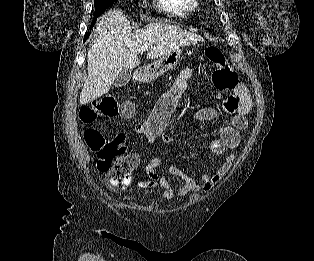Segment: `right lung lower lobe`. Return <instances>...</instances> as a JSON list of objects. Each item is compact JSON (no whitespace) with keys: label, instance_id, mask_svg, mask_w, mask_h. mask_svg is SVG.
Here are the masks:
<instances>
[{"label":"right lung lower lobe","instance_id":"obj_1","mask_svg":"<svg viewBox=\"0 0 314 261\" xmlns=\"http://www.w3.org/2000/svg\"><path fill=\"white\" fill-rule=\"evenodd\" d=\"M92 27H93V26H90V28H92ZM89 34H90V33H86V34H85L84 41L89 37Z\"/></svg>","mask_w":314,"mask_h":261}]
</instances>
